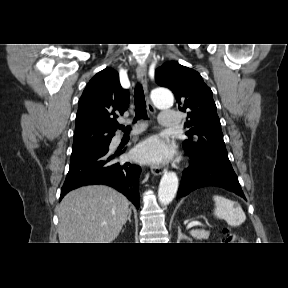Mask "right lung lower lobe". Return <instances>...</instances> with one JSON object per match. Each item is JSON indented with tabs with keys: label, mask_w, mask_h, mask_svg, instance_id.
I'll use <instances>...</instances> for the list:
<instances>
[{
	"label": "right lung lower lobe",
	"mask_w": 288,
	"mask_h": 288,
	"mask_svg": "<svg viewBox=\"0 0 288 288\" xmlns=\"http://www.w3.org/2000/svg\"><path fill=\"white\" fill-rule=\"evenodd\" d=\"M119 154L120 152L111 154L108 145L102 150L71 161L69 172L61 189L60 200L67 192L78 187L89 184H104L123 193L138 208V179L141 168L129 162H114Z\"/></svg>",
	"instance_id": "obj_1"
}]
</instances>
